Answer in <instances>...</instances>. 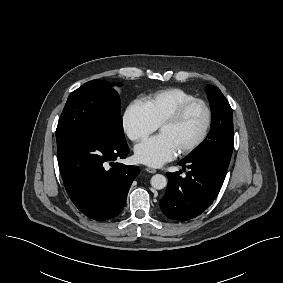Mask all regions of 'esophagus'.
Returning <instances> with one entry per match:
<instances>
[{
	"mask_svg": "<svg viewBox=\"0 0 283 283\" xmlns=\"http://www.w3.org/2000/svg\"><path fill=\"white\" fill-rule=\"evenodd\" d=\"M145 170H146L148 173H151V174H154V173H156V172H157V170H156V169H154V168H150V167L145 168Z\"/></svg>",
	"mask_w": 283,
	"mask_h": 283,
	"instance_id": "obj_1",
	"label": "esophagus"
}]
</instances>
